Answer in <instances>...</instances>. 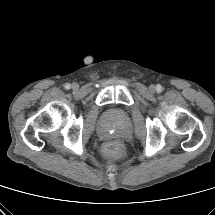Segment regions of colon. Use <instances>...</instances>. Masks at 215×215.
<instances>
[{
	"label": "colon",
	"mask_w": 215,
	"mask_h": 215,
	"mask_svg": "<svg viewBox=\"0 0 215 215\" xmlns=\"http://www.w3.org/2000/svg\"><path fill=\"white\" fill-rule=\"evenodd\" d=\"M104 154L108 157H121L124 153V148L121 143L117 141L109 142L104 146Z\"/></svg>",
	"instance_id": "1"
}]
</instances>
